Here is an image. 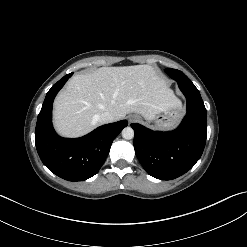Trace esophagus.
Instances as JSON below:
<instances>
[{
  "label": "esophagus",
  "mask_w": 247,
  "mask_h": 247,
  "mask_svg": "<svg viewBox=\"0 0 247 247\" xmlns=\"http://www.w3.org/2000/svg\"><path fill=\"white\" fill-rule=\"evenodd\" d=\"M137 120H138V118L136 116H134V115L129 117V123L135 122Z\"/></svg>",
  "instance_id": "obj_1"
}]
</instances>
